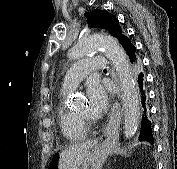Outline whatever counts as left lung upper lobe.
I'll return each instance as SVG.
<instances>
[{
	"instance_id": "left-lung-upper-lobe-1",
	"label": "left lung upper lobe",
	"mask_w": 177,
	"mask_h": 169,
	"mask_svg": "<svg viewBox=\"0 0 177 169\" xmlns=\"http://www.w3.org/2000/svg\"><path fill=\"white\" fill-rule=\"evenodd\" d=\"M85 16L88 18L91 27L99 26L108 30L111 35L119 40L123 48L131 42L122 31L118 19L107 11L95 10L85 13Z\"/></svg>"
}]
</instances>
